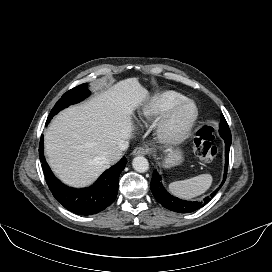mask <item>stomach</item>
Masks as SVG:
<instances>
[{"mask_svg":"<svg viewBox=\"0 0 272 272\" xmlns=\"http://www.w3.org/2000/svg\"><path fill=\"white\" fill-rule=\"evenodd\" d=\"M184 161L183 152L179 149L169 148L166 150V156L163 159V166L171 168L180 165Z\"/></svg>","mask_w":272,"mask_h":272,"instance_id":"0dacf381","label":"stomach"}]
</instances>
